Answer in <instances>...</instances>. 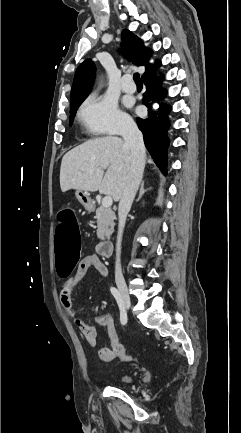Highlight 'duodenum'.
I'll use <instances>...</instances> for the list:
<instances>
[{"instance_id":"410a0bca","label":"duodenum","mask_w":241,"mask_h":433,"mask_svg":"<svg viewBox=\"0 0 241 433\" xmlns=\"http://www.w3.org/2000/svg\"><path fill=\"white\" fill-rule=\"evenodd\" d=\"M113 243L109 240L103 241L98 244V252L103 257L109 258L112 255Z\"/></svg>"}]
</instances>
